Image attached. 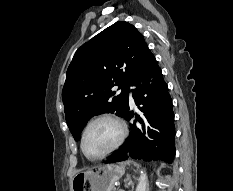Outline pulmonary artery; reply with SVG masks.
<instances>
[{
    "mask_svg": "<svg viewBox=\"0 0 233 191\" xmlns=\"http://www.w3.org/2000/svg\"><path fill=\"white\" fill-rule=\"evenodd\" d=\"M129 101L131 104H134V99H133V96H132V92L129 93Z\"/></svg>",
    "mask_w": 233,
    "mask_h": 191,
    "instance_id": "e3ab8cb5",
    "label": "pulmonary artery"
}]
</instances>
